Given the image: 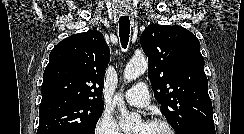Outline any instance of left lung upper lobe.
<instances>
[{
  "label": "left lung upper lobe",
  "mask_w": 244,
  "mask_h": 134,
  "mask_svg": "<svg viewBox=\"0 0 244 134\" xmlns=\"http://www.w3.org/2000/svg\"><path fill=\"white\" fill-rule=\"evenodd\" d=\"M155 99L177 134L193 125L214 126L204 59L196 36L181 26L149 25L141 35Z\"/></svg>",
  "instance_id": "obj_1"
}]
</instances>
